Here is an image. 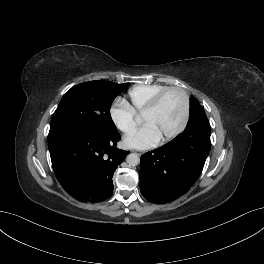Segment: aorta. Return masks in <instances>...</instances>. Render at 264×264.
Returning <instances> with one entry per match:
<instances>
[{
  "label": "aorta",
  "instance_id": "1",
  "mask_svg": "<svg viewBox=\"0 0 264 264\" xmlns=\"http://www.w3.org/2000/svg\"><path fill=\"white\" fill-rule=\"evenodd\" d=\"M126 161L130 166H136L140 163V158L137 154L131 153L127 156Z\"/></svg>",
  "mask_w": 264,
  "mask_h": 264
}]
</instances>
